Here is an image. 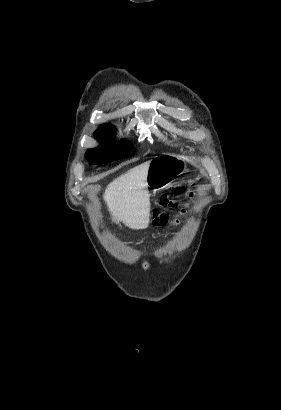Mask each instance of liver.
Returning a JSON list of instances; mask_svg holds the SVG:
<instances>
[{"mask_svg": "<svg viewBox=\"0 0 281 410\" xmlns=\"http://www.w3.org/2000/svg\"><path fill=\"white\" fill-rule=\"evenodd\" d=\"M150 161L142 163L111 182L103 195L115 223L134 229H146L150 222V195L147 173Z\"/></svg>", "mask_w": 281, "mask_h": 410, "instance_id": "6515ba94", "label": "liver"}]
</instances>
